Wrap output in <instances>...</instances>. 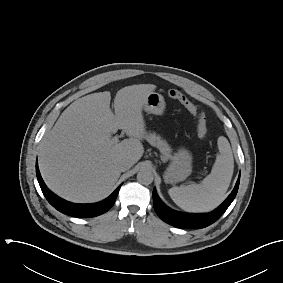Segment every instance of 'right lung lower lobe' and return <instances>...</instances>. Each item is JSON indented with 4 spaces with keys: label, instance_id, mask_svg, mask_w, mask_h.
I'll use <instances>...</instances> for the list:
<instances>
[{
    "label": "right lung lower lobe",
    "instance_id": "obj_1",
    "mask_svg": "<svg viewBox=\"0 0 283 283\" xmlns=\"http://www.w3.org/2000/svg\"><path fill=\"white\" fill-rule=\"evenodd\" d=\"M36 174L41 190L44 196L46 197V199L48 200V202L58 211L74 217H81V218L95 217L105 213L115 203L119 189L121 187L120 185L108 198H106L101 202L95 204H75L58 197L47 188L40 175L37 163H36Z\"/></svg>",
    "mask_w": 283,
    "mask_h": 283
}]
</instances>
